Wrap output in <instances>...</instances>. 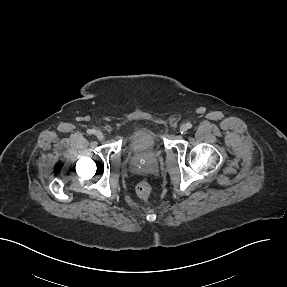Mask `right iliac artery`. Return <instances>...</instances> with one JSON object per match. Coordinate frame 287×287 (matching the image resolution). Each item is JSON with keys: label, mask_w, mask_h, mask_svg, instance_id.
<instances>
[{"label": "right iliac artery", "mask_w": 287, "mask_h": 287, "mask_svg": "<svg viewBox=\"0 0 287 287\" xmlns=\"http://www.w3.org/2000/svg\"><path fill=\"white\" fill-rule=\"evenodd\" d=\"M95 132H96L95 129H89V130L87 131L88 134H95Z\"/></svg>", "instance_id": "right-iliac-artery-1"}]
</instances>
